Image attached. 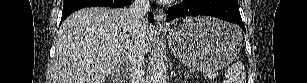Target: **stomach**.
Listing matches in <instances>:
<instances>
[{
    "instance_id": "0dacf381",
    "label": "stomach",
    "mask_w": 307,
    "mask_h": 83,
    "mask_svg": "<svg viewBox=\"0 0 307 83\" xmlns=\"http://www.w3.org/2000/svg\"><path fill=\"white\" fill-rule=\"evenodd\" d=\"M173 55L191 69L213 72L228 65L242 45L240 30L229 23L209 18H189L166 33Z\"/></svg>"
}]
</instances>
